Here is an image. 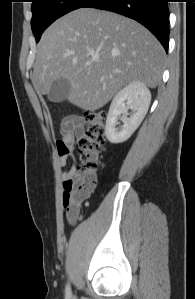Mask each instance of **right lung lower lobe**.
<instances>
[{"mask_svg": "<svg viewBox=\"0 0 195 299\" xmlns=\"http://www.w3.org/2000/svg\"><path fill=\"white\" fill-rule=\"evenodd\" d=\"M168 0H89L83 7L112 11L132 18L145 26L161 42L169 43Z\"/></svg>", "mask_w": 195, "mask_h": 299, "instance_id": "obj_1", "label": "right lung lower lobe"}]
</instances>
